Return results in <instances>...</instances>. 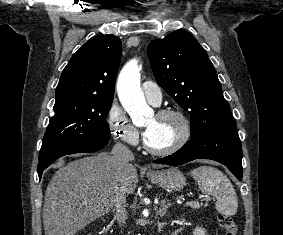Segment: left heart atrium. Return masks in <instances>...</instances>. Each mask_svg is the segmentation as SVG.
Segmentation results:
<instances>
[{"instance_id":"obj_1","label":"left heart atrium","mask_w":283,"mask_h":235,"mask_svg":"<svg viewBox=\"0 0 283 235\" xmlns=\"http://www.w3.org/2000/svg\"><path fill=\"white\" fill-rule=\"evenodd\" d=\"M151 130L149 128L144 130V136L147 138L150 135Z\"/></svg>"}]
</instances>
